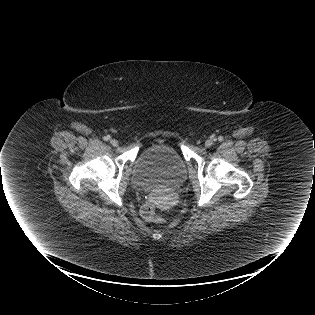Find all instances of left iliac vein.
<instances>
[{"label":"left iliac vein","mask_w":315,"mask_h":315,"mask_svg":"<svg viewBox=\"0 0 315 315\" xmlns=\"http://www.w3.org/2000/svg\"><path fill=\"white\" fill-rule=\"evenodd\" d=\"M213 143H214V141H213L212 139H208V140H206V142H205V146H206V147H210Z\"/></svg>","instance_id":"left-iliac-vein-1"}]
</instances>
